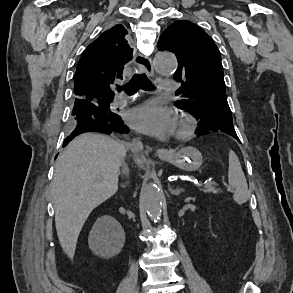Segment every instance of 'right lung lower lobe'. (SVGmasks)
<instances>
[{"mask_svg":"<svg viewBox=\"0 0 293 293\" xmlns=\"http://www.w3.org/2000/svg\"><path fill=\"white\" fill-rule=\"evenodd\" d=\"M105 109V108H104ZM72 115L74 130L64 140L65 147L75 136L85 132H120L128 133L129 129L123 125L121 117L110 111H104L94 102L76 99Z\"/></svg>","mask_w":293,"mask_h":293,"instance_id":"98d812e1","label":"right lung lower lobe"}]
</instances>
